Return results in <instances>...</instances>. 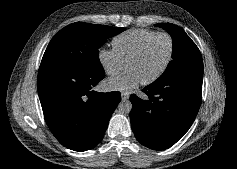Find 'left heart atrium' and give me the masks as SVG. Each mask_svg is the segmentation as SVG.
<instances>
[{"mask_svg":"<svg viewBox=\"0 0 237 169\" xmlns=\"http://www.w3.org/2000/svg\"><path fill=\"white\" fill-rule=\"evenodd\" d=\"M139 77L132 70L114 76L107 80V87L114 90H129L140 83Z\"/></svg>","mask_w":237,"mask_h":169,"instance_id":"obj_1","label":"left heart atrium"}]
</instances>
